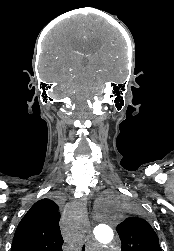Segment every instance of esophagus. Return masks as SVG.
Here are the masks:
<instances>
[{
  "label": "esophagus",
  "instance_id": "34e87169",
  "mask_svg": "<svg viewBox=\"0 0 174 251\" xmlns=\"http://www.w3.org/2000/svg\"><path fill=\"white\" fill-rule=\"evenodd\" d=\"M82 225H83V231L86 234L87 239L91 238V227H90V222L88 219V212H87V207L86 204L84 205L82 209Z\"/></svg>",
  "mask_w": 174,
  "mask_h": 251
}]
</instances>
